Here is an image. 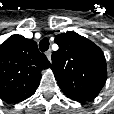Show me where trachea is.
Listing matches in <instances>:
<instances>
[{
	"label": "trachea",
	"mask_w": 114,
	"mask_h": 114,
	"mask_svg": "<svg viewBox=\"0 0 114 114\" xmlns=\"http://www.w3.org/2000/svg\"><path fill=\"white\" fill-rule=\"evenodd\" d=\"M39 49L42 51V52H45L49 49V40L47 38H44L40 41L39 43Z\"/></svg>",
	"instance_id": "1"
}]
</instances>
